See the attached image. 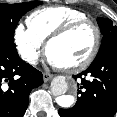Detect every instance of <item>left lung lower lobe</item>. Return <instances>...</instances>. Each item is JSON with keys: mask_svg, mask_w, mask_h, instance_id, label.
Wrapping results in <instances>:
<instances>
[{"mask_svg": "<svg viewBox=\"0 0 117 117\" xmlns=\"http://www.w3.org/2000/svg\"><path fill=\"white\" fill-rule=\"evenodd\" d=\"M86 76L92 77L86 80ZM80 78L77 103L71 109H59L61 117H113L117 112V43L96 57Z\"/></svg>", "mask_w": 117, "mask_h": 117, "instance_id": "left-lung-lower-lobe-1", "label": "left lung lower lobe"}]
</instances>
